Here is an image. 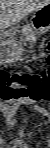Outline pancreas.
<instances>
[{
	"label": "pancreas",
	"mask_w": 50,
	"mask_h": 148,
	"mask_svg": "<svg viewBox=\"0 0 50 148\" xmlns=\"http://www.w3.org/2000/svg\"><path fill=\"white\" fill-rule=\"evenodd\" d=\"M22 34L23 35H26L27 34L29 37L35 38V32L32 31L30 28H23L22 29Z\"/></svg>",
	"instance_id": "obj_1"
}]
</instances>
